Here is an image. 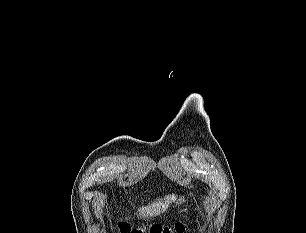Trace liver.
Listing matches in <instances>:
<instances>
[{"label":"liver","instance_id":"1","mask_svg":"<svg viewBox=\"0 0 306 233\" xmlns=\"http://www.w3.org/2000/svg\"><path fill=\"white\" fill-rule=\"evenodd\" d=\"M176 200V196L174 194L167 195L164 199H157V201L152 202L148 206H142L138 209V218H149L153 216L159 215L163 212L170 203ZM127 219V217H126Z\"/></svg>","mask_w":306,"mask_h":233}]
</instances>
